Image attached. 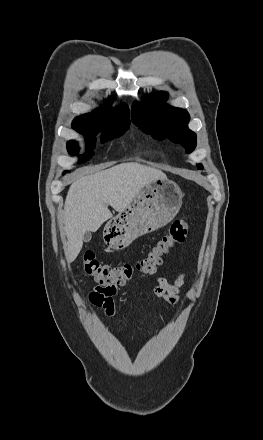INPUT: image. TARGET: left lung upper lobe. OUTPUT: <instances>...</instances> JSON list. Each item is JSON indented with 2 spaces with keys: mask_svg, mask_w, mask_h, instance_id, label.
Returning a JSON list of instances; mask_svg holds the SVG:
<instances>
[{
  "mask_svg": "<svg viewBox=\"0 0 263 440\" xmlns=\"http://www.w3.org/2000/svg\"><path fill=\"white\" fill-rule=\"evenodd\" d=\"M167 96V93L159 92L153 99H146L144 103L134 102L131 110L132 121L157 139L168 137L181 143L186 152L190 153L196 147V134L187 126L190 116L184 109L166 105ZM197 167L203 168L201 164Z\"/></svg>",
  "mask_w": 263,
  "mask_h": 440,
  "instance_id": "5c2ea615",
  "label": "left lung upper lobe"
}]
</instances>
